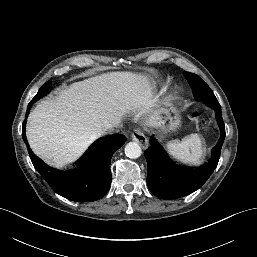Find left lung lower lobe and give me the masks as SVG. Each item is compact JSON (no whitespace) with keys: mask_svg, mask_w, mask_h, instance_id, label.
Returning a JSON list of instances; mask_svg holds the SVG:
<instances>
[{"mask_svg":"<svg viewBox=\"0 0 257 257\" xmlns=\"http://www.w3.org/2000/svg\"><path fill=\"white\" fill-rule=\"evenodd\" d=\"M214 109L221 129V137L212 148L209 161L199 167L191 168L177 164L154 136L150 138L151 146L144 155L148 163L147 185L155 196L169 200L189 195L199 189L213 173L225 139L221 107Z\"/></svg>","mask_w":257,"mask_h":257,"instance_id":"1","label":"left lung lower lobe"}]
</instances>
